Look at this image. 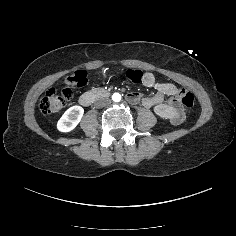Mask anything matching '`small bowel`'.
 <instances>
[{"instance_id": "small-bowel-1", "label": "small bowel", "mask_w": 236, "mask_h": 236, "mask_svg": "<svg viewBox=\"0 0 236 236\" xmlns=\"http://www.w3.org/2000/svg\"><path fill=\"white\" fill-rule=\"evenodd\" d=\"M144 84H145L146 86L151 87V86L154 85V81H153V79H152L150 76H146L145 79H144ZM170 90H171L172 92H174V93L177 92V90H176L175 88H170Z\"/></svg>"}]
</instances>
